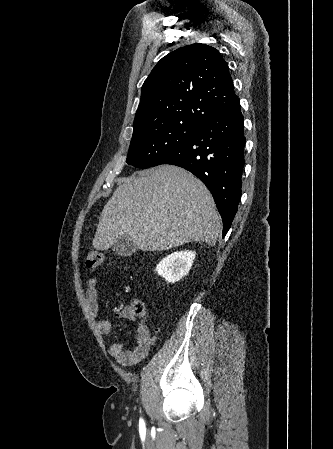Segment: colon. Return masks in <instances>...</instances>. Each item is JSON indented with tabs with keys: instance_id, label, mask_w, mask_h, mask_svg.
Here are the masks:
<instances>
[{
	"instance_id": "5ec220e1",
	"label": "colon",
	"mask_w": 333,
	"mask_h": 449,
	"mask_svg": "<svg viewBox=\"0 0 333 449\" xmlns=\"http://www.w3.org/2000/svg\"><path fill=\"white\" fill-rule=\"evenodd\" d=\"M104 255L99 250H90L86 256V266L89 269H97L103 262ZM131 312L134 316L144 318L146 315L144 304L141 301H134L131 306Z\"/></svg>"
}]
</instances>
